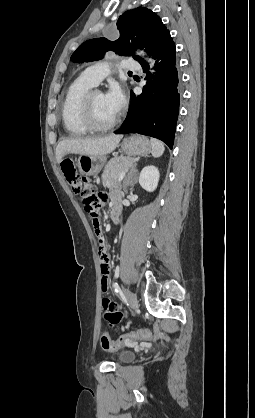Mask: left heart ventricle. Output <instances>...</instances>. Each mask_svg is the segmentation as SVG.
<instances>
[{"instance_id":"obj_1","label":"left heart ventricle","mask_w":255,"mask_h":418,"mask_svg":"<svg viewBox=\"0 0 255 418\" xmlns=\"http://www.w3.org/2000/svg\"><path fill=\"white\" fill-rule=\"evenodd\" d=\"M93 114L97 123L108 124L116 115L108 107L103 93H96L93 97Z\"/></svg>"}]
</instances>
